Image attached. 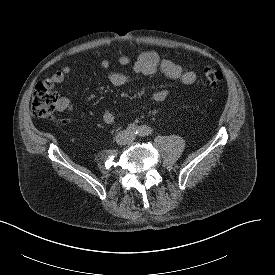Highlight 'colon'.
<instances>
[{"label":"colon","instance_id":"colon-1","mask_svg":"<svg viewBox=\"0 0 275 275\" xmlns=\"http://www.w3.org/2000/svg\"><path fill=\"white\" fill-rule=\"evenodd\" d=\"M203 80L208 88H217L222 80V72L214 66H206L202 71ZM59 97L46 83L35 84L31 98V110L38 118H50L58 108Z\"/></svg>","mask_w":275,"mask_h":275}]
</instances>
